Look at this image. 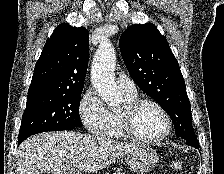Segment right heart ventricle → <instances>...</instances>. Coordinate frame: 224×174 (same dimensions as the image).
<instances>
[{
  "label": "right heart ventricle",
  "instance_id": "1",
  "mask_svg": "<svg viewBox=\"0 0 224 174\" xmlns=\"http://www.w3.org/2000/svg\"><path fill=\"white\" fill-rule=\"evenodd\" d=\"M124 97L126 102L136 99V96H128L125 94ZM102 137L117 140L128 139L120 127L117 112H109V125Z\"/></svg>",
  "mask_w": 224,
  "mask_h": 174
}]
</instances>
